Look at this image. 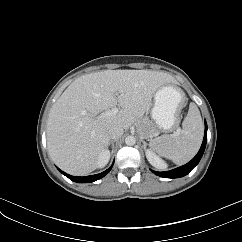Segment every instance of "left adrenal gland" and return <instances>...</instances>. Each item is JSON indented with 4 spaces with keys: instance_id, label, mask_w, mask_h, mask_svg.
I'll return each mask as SVG.
<instances>
[{
    "instance_id": "left-adrenal-gland-1",
    "label": "left adrenal gland",
    "mask_w": 242,
    "mask_h": 242,
    "mask_svg": "<svg viewBox=\"0 0 242 242\" xmlns=\"http://www.w3.org/2000/svg\"><path fill=\"white\" fill-rule=\"evenodd\" d=\"M141 141H142V143H143L144 150H146L147 143L143 140L142 137H141Z\"/></svg>"
}]
</instances>
